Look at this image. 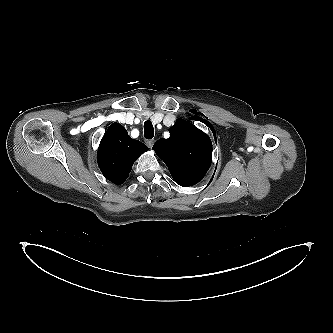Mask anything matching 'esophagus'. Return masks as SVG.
Instances as JSON below:
<instances>
[{"instance_id":"esophagus-1","label":"esophagus","mask_w":333,"mask_h":333,"mask_svg":"<svg viewBox=\"0 0 333 333\" xmlns=\"http://www.w3.org/2000/svg\"><path fill=\"white\" fill-rule=\"evenodd\" d=\"M146 145H147L149 148H152L153 145H154V140H153V139H151V140H147V141H146Z\"/></svg>"}]
</instances>
